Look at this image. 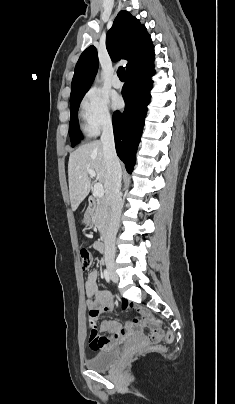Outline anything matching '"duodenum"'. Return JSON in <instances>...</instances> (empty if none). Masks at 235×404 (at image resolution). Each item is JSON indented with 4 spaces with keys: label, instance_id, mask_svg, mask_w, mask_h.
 Segmentation results:
<instances>
[{
    "label": "duodenum",
    "instance_id": "410a0bca",
    "mask_svg": "<svg viewBox=\"0 0 235 404\" xmlns=\"http://www.w3.org/2000/svg\"><path fill=\"white\" fill-rule=\"evenodd\" d=\"M95 205H96V200L95 198H90L88 201V207H87V214L90 216L93 215L95 211ZM104 243H106V238L104 239Z\"/></svg>",
    "mask_w": 235,
    "mask_h": 404
}]
</instances>
